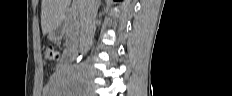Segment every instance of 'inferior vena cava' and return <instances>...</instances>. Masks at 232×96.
<instances>
[{"label":"inferior vena cava","instance_id":"inferior-vena-cava-1","mask_svg":"<svg viewBox=\"0 0 232 96\" xmlns=\"http://www.w3.org/2000/svg\"><path fill=\"white\" fill-rule=\"evenodd\" d=\"M99 0H81L80 4V50L87 52L93 43L95 18Z\"/></svg>","mask_w":232,"mask_h":96}]
</instances>
